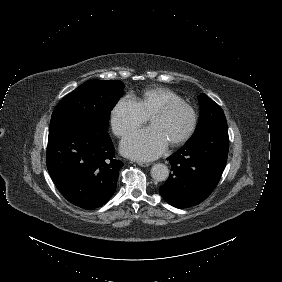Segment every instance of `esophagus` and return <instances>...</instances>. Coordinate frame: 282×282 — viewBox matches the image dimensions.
<instances>
[{"label":"esophagus","instance_id":"esophagus-1","mask_svg":"<svg viewBox=\"0 0 282 282\" xmlns=\"http://www.w3.org/2000/svg\"><path fill=\"white\" fill-rule=\"evenodd\" d=\"M138 165L141 166V167H148L150 165V163H147V162H138Z\"/></svg>","mask_w":282,"mask_h":282}]
</instances>
